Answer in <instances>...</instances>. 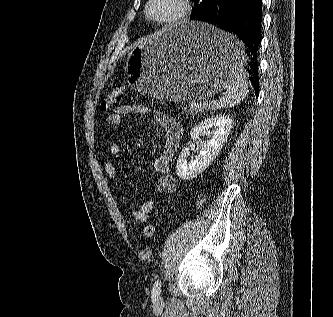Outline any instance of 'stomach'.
<instances>
[{
  "label": "stomach",
  "instance_id": "1",
  "mask_svg": "<svg viewBox=\"0 0 333 317\" xmlns=\"http://www.w3.org/2000/svg\"><path fill=\"white\" fill-rule=\"evenodd\" d=\"M246 45L218 24L167 27L141 41L127 56L129 82L144 96L170 102L198 101L231 88L248 62Z\"/></svg>",
  "mask_w": 333,
  "mask_h": 317
}]
</instances>
